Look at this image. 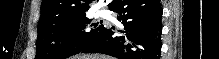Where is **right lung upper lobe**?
Here are the masks:
<instances>
[{
  "mask_svg": "<svg viewBox=\"0 0 219 59\" xmlns=\"http://www.w3.org/2000/svg\"><path fill=\"white\" fill-rule=\"evenodd\" d=\"M90 1L93 0H43L38 27L53 20L86 14ZM113 1L108 7L112 5Z\"/></svg>",
  "mask_w": 219,
  "mask_h": 59,
  "instance_id": "cb5924a9",
  "label": "right lung upper lobe"
}]
</instances>
